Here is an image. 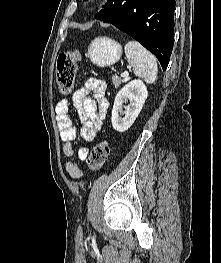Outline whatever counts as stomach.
Returning a JSON list of instances; mask_svg holds the SVG:
<instances>
[{"label":"stomach","mask_w":221,"mask_h":263,"mask_svg":"<svg viewBox=\"0 0 221 263\" xmlns=\"http://www.w3.org/2000/svg\"><path fill=\"white\" fill-rule=\"evenodd\" d=\"M122 55V47L108 37L94 39L88 47L87 56L91 62L99 67H106L116 63Z\"/></svg>","instance_id":"obj_1"}]
</instances>
